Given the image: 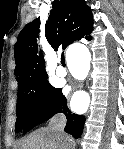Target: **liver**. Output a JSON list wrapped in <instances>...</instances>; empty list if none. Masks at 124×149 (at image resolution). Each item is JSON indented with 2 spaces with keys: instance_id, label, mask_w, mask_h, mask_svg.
<instances>
[{
  "instance_id": "liver-1",
  "label": "liver",
  "mask_w": 124,
  "mask_h": 149,
  "mask_svg": "<svg viewBox=\"0 0 124 149\" xmlns=\"http://www.w3.org/2000/svg\"><path fill=\"white\" fill-rule=\"evenodd\" d=\"M62 142L51 127L41 128L23 140L21 149H62Z\"/></svg>"
}]
</instances>
